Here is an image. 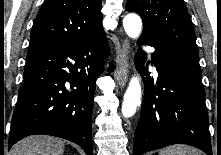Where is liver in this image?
<instances>
[{
    "label": "liver",
    "mask_w": 221,
    "mask_h": 155,
    "mask_svg": "<svg viewBox=\"0 0 221 155\" xmlns=\"http://www.w3.org/2000/svg\"><path fill=\"white\" fill-rule=\"evenodd\" d=\"M65 144L55 137L34 135L16 143L10 155H63Z\"/></svg>",
    "instance_id": "6515ba94"
}]
</instances>
